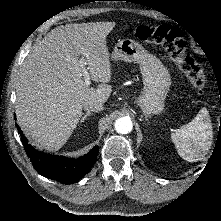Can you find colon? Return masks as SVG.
<instances>
[{"instance_id":"1","label":"colon","mask_w":221,"mask_h":221,"mask_svg":"<svg viewBox=\"0 0 221 221\" xmlns=\"http://www.w3.org/2000/svg\"><path fill=\"white\" fill-rule=\"evenodd\" d=\"M130 34L148 44L160 45L184 74L187 82L198 93L205 89L206 81L201 65L188 50L182 32L170 25H140Z\"/></svg>"}]
</instances>
